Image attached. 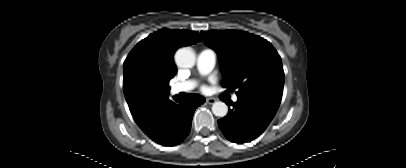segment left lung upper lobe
<instances>
[{"instance_id": "obj_1", "label": "left lung upper lobe", "mask_w": 406, "mask_h": 168, "mask_svg": "<svg viewBox=\"0 0 406 168\" xmlns=\"http://www.w3.org/2000/svg\"><path fill=\"white\" fill-rule=\"evenodd\" d=\"M201 33L220 58L223 87L237 89L238 97L281 101L285 76L281 58L270 42L244 31Z\"/></svg>"}]
</instances>
